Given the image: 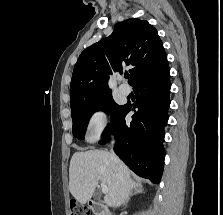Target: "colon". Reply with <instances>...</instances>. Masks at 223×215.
Returning <instances> with one entry per match:
<instances>
[{
	"label": "colon",
	"instance_id": "colon-1",
	"mask_svg": "<svg viewBox=\"0 0 223 215\" xmlns=\"http://www.w3.org/2000/svg\"><path fill=\"white\" fill-rule=\"evenodd\" d=\"M70 215H90L89 209L77 202L71 203Z\"/></svg>",
	"mask_w": 223,
	"mask_h": 215
}]
</instances>
